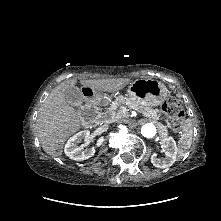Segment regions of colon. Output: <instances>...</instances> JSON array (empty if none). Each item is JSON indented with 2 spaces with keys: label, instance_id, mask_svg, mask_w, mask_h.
<instances>
[{
  "label": "colon",
  "instance_id": "obj_1",
  "mask_svg": "<svg viewBox=\"0 0 221 221\" xmlns=\"http://www.w3.org/2000/svg\"><path fill=\"white\" fill-rule=\"evenodd\" d=\"M161 110L174 120V128L178 131L185 117L184 111L178 100L174 97L166 99L161 106Z\"/></svg>",
  "mask_w": 221,
  "mask_h": 221
}]
</instances>
